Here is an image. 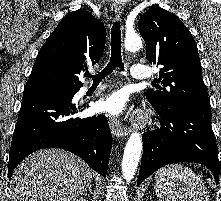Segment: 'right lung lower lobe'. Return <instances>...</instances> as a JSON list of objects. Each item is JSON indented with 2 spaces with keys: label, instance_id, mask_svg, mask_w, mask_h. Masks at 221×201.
I'll list each match as a JSON object with an SVG mask.
<instances>
[{
  "label": "right lung lower lobe",
  "instance_id": "right-lung-lower-lobe-1",
  "mask_svg": "<svg viewBox=\"0 0 221 201\" xmlns=\"http://www.w3.org/2000/svg\"><path fill=\"white\" fill-rule=\"evenodd\" d=\"M78 90L61 96L24 95L10 149L9 179L26 156L51 147L76 154L93 170L106 175L112 147L108 121L103 115L73 117L83 110L71 103Z\"/></svg>",
  "mask_w": 221,
  "mask_h": 201
}]
</instances>
